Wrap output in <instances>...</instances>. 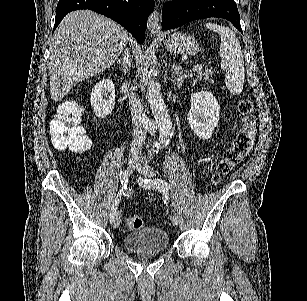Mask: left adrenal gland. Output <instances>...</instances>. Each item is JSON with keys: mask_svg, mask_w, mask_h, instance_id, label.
Here are the masks:
<instances>
[{"mask_svg": "<svg viewBox=\"0 0 307 301\" xmlns=\"http://www.w3.org/2000/svg\"><path fill=\"white\" fill-rule=\"evenodd\" d=\"M172 70V82L181 88L183 80H185V78H189L190 74L189 72H183L181 66H179V64H175V62H173Z\"/></svg>", "mask_w": 307, "mask_h": 301, "instance_id": "left-adrenal-gland-1", "label": "left adrenal gland"}]
</instances>
